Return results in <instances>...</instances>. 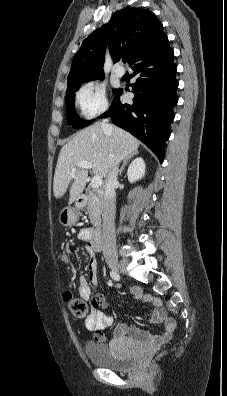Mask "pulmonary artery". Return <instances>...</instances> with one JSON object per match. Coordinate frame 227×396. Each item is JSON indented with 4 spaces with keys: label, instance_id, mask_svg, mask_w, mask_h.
Segmentation results:
<instances>
[{
    "label": "pulmonary artery",
    "instance_id": "obj_1",
    "mask_svg": "<svg viewBox=\"0 0 227 396\" xmlns=\"http://www.w3.org/2000/svg\"><path fill=\"white\" fill-rule=\"evenodd\" d=\"M115 75L117 77H123L125 75V69L122 66H117L115 69Z\"/></svg>",
    "mask_w": 227,
    "mask_h": 396
}]
</instances>
